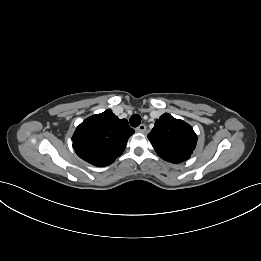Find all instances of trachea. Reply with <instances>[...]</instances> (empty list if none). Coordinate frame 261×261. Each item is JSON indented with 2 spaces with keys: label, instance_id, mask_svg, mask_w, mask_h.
<instances>
[{
  "label": "trachea",
  "instance_id": "3493384b",
  "mask_svg": "<svg viewBox=\"0 0 261 261\" xmlns=\"http://www.w3.org/2000/svg\"><path fill=\"white\" fill-rule=\"evenodd\" d=\"M141 123V116L138 114H134L130 117V125L132 127H138Z\"/></svg>",
  "mask_w": 261,
  "mask_h": 261
}]
</instances>
